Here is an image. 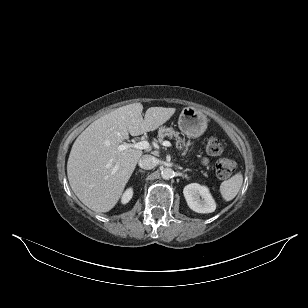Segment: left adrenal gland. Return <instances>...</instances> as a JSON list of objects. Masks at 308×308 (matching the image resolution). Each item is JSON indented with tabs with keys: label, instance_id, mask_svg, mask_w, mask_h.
<instances>
[{
	"label": "left adrenal gland",
	"instance_id": "left-adrenal-gland-1",
	"mask_svg": "<svg viewBox=\"0 0 308 308\" xmlns=\"http://www.w3.org/2000/svg\"><path fill=\"white\" fill-rule=\"evenodd\" d=\"M187 171H192L191 169H185L183 170V172H187Z\"/></svg>",
	"mask_w": 308,
	"mask_h": 308
}]
</instances>
